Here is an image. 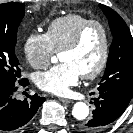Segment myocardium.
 I'll list each match as a JSON object with an SVG mask.
<instances>
[{
	"label": "myocardium",
	"mask_w": 133,
	"mask_h": 133,
	"mask_svg": "<svg viewBox=\"0 0 133 133\" xmlns=\"http://www.w3.org/2000/svg\"><path fill=\"white\" fill-rule=\"evenodd\" d=\"M93 26L98 27L102 31L103 38H104L103 50H102L101 58L98 65L92 71L81 75L84 79L96 78L98 75H100L103 72V70L105 69L108 63L109 56H110L111 39H110V32L107 26L99 20H89L85 22L78 29V31L75 33L73 38L61 49V53L76 49L81 44L87 30Z\"/></svg>",
	"instance_id": "f54148a6"
}]
</instances>
